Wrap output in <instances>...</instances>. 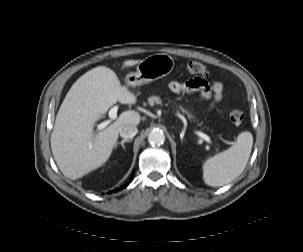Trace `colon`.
Segmentation results:
<instances>
[{"mask_svg":"<svg viewBox=\"0 0 303 252\" xmlns=\"http://www.w3.org/2000/svg\"><path fill=\"white\" fill-rule=\"evenodd\" d=\"M186 70L193 75H205L207 68L204 64L197 61H190L186 65ZM230 121L236 127L240 126L244 121V114L239 110H232L229 114Z\"/></svg>","mask_w":303,"mask_h":252,"instance_id":"5ec220e1","label":"colon"}]
</instances>
